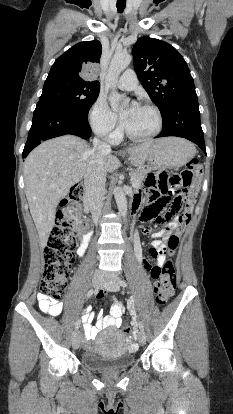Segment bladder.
<instances>
[{
    "instance_id": "bladder-1",
    "label": "bladder",
    "mask_w": 233,
    "mask_h": 414,
    "mask_svg": "<svg viewBox=\"0 0 233 414\" xmlns=\"http://www.w3.org/2000/svg\"><path fill=\"white\" fill-rule=\"evenodd\" d=\"M134 361L127 337L118 329H108L100 333L92 349L81 355V363L95 371L125 369L133 365Z\"/></svg>"
}]
</instances>
